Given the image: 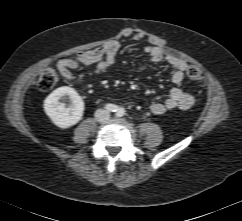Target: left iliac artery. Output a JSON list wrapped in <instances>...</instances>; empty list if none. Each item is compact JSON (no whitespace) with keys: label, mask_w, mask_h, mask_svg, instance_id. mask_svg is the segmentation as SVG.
<instances>
[{"label":"left iliac artery","mask_w":242,"mask_h":221,"mask_svg":"<svg viewBox=\"0 0 242 221\" xmlns=\"http://www.w3.org/2000/svg\"><path fill=\"white\" fill-rule=\"evenodd\" d=\"M125 114V111L123 109H119L116 113L117 117H122Z\"/></svg>","instance_id":"left-iliac-artery-1"}]
</instances>
